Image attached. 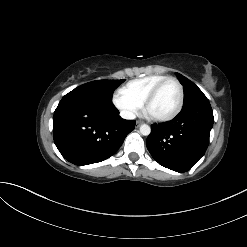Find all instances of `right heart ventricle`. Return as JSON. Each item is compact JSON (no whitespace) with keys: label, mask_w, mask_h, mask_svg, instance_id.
Listing matches in <instances>:
<instances>
[{"label":"right heart ventricle","mask_w":247,"mask_h":247,"mask_svg":"<svg viewBox=\"0 0 247 247\" xmlns=\"http://www.w3.org/2000/svg\"><path fill=\"white\" fill-rule=\"evenodd\" d=\"M166 75L154 74L128 82L122 91L135 101L142 104L148 93L164 78Z\"/></svg>","instance_id":"e07e8e85"}]
</instances>
